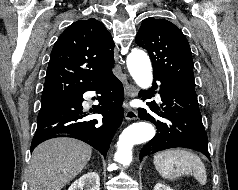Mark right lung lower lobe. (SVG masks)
<instances>
[{"mask_svg":"<svg viewBox=\"0 0 238 190\" xmlns=\"http://www.w3.org/2000/svg\"><path fill=\"white\" fill-rule=\"evenodd\" d=\"M96 91L99 105L91 112L103 116L102 120L88 119L89 114L83 112V93ZM123 85L111 73L88 85L78 94L65 102L40 110L37 117V130L31 143V151L41 142L55 137L56 134H75L76 137L106 157L112 137L122 122Z\"/></svg>","mask_w":238,"mask_h":190,"instance_id":"98d812e1","label":"right lung lower lobe"}]
</instances>
